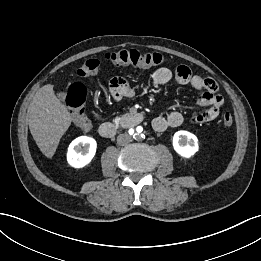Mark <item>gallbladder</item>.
Returning a JSON list of instances; mask_svg holds the SVG:
<instances>
[{"instance_id":"1","label":"gallbladder","mask_w":261,"mask_h":261,"mask_svg":"<svg viewBox=\"0 0 261 261\" xmlns=\"http://www.w3.org/2000/svg\"><path fill=\"white\" fill-rule=\"evenodd\" d=\"M58 97H59L61 100H64L65 97H66L65 92H59V93H58Z\"/></svg>"}]
</instances>
